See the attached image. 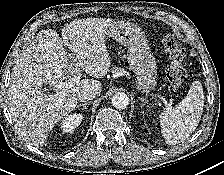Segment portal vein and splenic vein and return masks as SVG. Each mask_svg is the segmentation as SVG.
Segmentation results:
<instances>
[{
	"instance_id": "portal-vein-and-splenic-vein-1",
	"label": "portal vein and splenic vein",
	"mask_w": 224,
	"mask_h": 175,
	"mask_svg": "<svg viewBox=\"0 0 224 175\" xmlns=\"http://www.w3.org/2000/svg\"><path fill=\"white\" fill-rule=\"evenodd\" d=\"M80 74L76 75L74 78H73V81L78 83L80 81ZM69 83H66V82H61L60 84H56V87L57 88H60V87H64V86H67Z\"/></svg>"
}]
</instances>
